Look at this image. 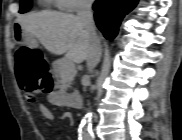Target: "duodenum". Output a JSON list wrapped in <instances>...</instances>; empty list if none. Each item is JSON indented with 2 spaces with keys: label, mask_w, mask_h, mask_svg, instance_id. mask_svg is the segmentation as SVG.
<instances>
[{
  "label": "duodenum",
  "mask_w": 182,
  "mask_h": 140,
  "mask_svg": "<svg viewBox=\"0 0 182 140\" xmlns=\"http://www.w3.org/2000/svg\"><path fill=\"white\" fill-rule=\"evenodd\" d=\"M66 104L73 108H80L82 106V97L80 95H73L66 100Z\"/></svg>",
  "instance_id": "1"
}]
</instances>
